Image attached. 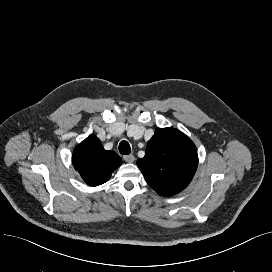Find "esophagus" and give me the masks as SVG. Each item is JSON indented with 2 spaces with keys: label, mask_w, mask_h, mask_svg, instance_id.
<instances>
[{
  "label": "esophagus",
  "mask_w": 272,
  "mask_h": 272,
  "mask_svg": "<svg viewBox=\"0 0 272 272\" xmlns=\"http://www.w3.org/2000/svg\"><path fill=\"white\" fill-rule=\"evenodd\" d=\"M124 160L128 163H132L135 160V157L133 155H127L124 156Z\"/></svg>",
  "instance_id": "esophagus-1"
}]
</instances>
